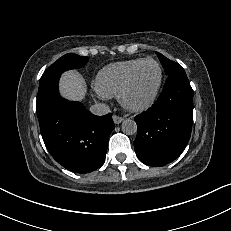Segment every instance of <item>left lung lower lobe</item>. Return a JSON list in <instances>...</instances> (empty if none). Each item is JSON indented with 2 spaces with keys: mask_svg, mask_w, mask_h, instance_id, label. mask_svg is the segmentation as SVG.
Wrapping results in <instances>:
<instances>
[{
  "mask_svg": "<svg viewBox=\"0 0 231 231\" xmlns=\"http://www.w3.org/2000/svg\"><path fill=\"white\" fill-rule=\"evenodd\" d=\"M137 157L149 166H164L185 149L193 122V90L184 69L171 72L158 100L135 117Z\"/></svg>",
  "mask_w": 231,
  "mask_h": 231,
  "instance_id": "obj_1",
  "label": "left lung lower lobe"
}]
</instances>
